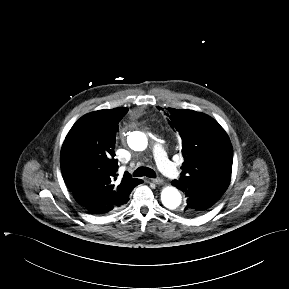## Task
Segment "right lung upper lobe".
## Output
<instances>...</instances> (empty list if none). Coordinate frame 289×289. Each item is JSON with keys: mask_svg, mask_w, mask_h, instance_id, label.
<instances>
[{"mask_svg": "<svg viewBox=\"0 0 289 289\" xmlns=\"http://www.w3.org/2000/svg\"><path fill=\"white\" fill-rule=\"evenodd\" d=\"M127 111V108L103 109L82 116L62 145L60 165L64 181L76 201L90 212L118 209L141 183L128 173L117 180L115 137L118 123Z\"/></svg>", "mask_w": 289, "mask_h": 289, "instance_id": "obj_1", "label": "right lung upper lobe"}]
</instances>
